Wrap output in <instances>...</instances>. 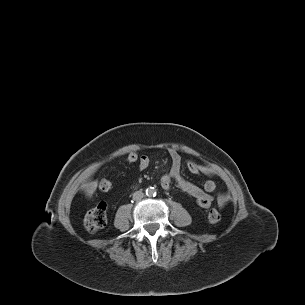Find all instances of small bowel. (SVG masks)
I'll use <instances>...</instances> for the list:
<instances>
[{"instance_id": "c3829d8e", "label": "small bowel", "mask_w": 305, "mask_h": 305, "mask_svg": "<svg viewBox=\"0 0 305 305\" xmlns=\"http://www.w3.org/2000/svg\"><path fill=\"white\" fill-rule=\"evenodd\" d=\"M169 156L171 158V168L168 173L163 175L160 179V184L163 189H169L173 184L182 190L183 192L189 194L195 198L197 204L202 208H208L211 206L214 196L212 193L216 189V183L214 180H207L203 187H200L193 182L185 179L181 174L182 167V156L179 151L171 147L168 149ZM150 164V159L146 155H142L139 161L140 169L144 170L148 168ZM187 168L193 174H204L208 177H215L217 174L209 166L201 165L194 160L187 161ZM227 201V196L224 194L218 195V202L223 205Z\"/></svg>"}]
</instances>
